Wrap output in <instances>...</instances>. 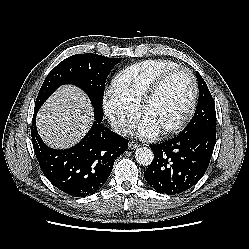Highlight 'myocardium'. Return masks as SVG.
Instances as JSON below:
<instances>
[{
	"instance_id": "1",
	"label": "myocardium",
	"mask_w": 249,
	"mask_h": 249,
	"mask_svg": "<svg viewBox=\"0 0 249 249\" xmlns=\"http://www.w3.org/2000/svg\"><path fill=\"white\" fill-rule=\"evenodd\" d=\"M178 71H185L189 75L190 83H191L190 98H189L188 106H187L186 110L184 111V113L181 115V117L173 124L159 130V133L162 135H170V134L176 133L179 130H181L188 123V121L191 119V117L195 111L197 97H198V85H197V80H196V77H195L193 71L189 67L183 66V65H177L175 67H172V68L164 71L154 80V82L148 88V90L146 91V93L142 97V99L139 103V106H138L139 116L143 118L147 107L150 105V103L157 96V94L160 91L164 82L172 74H174L175 72H178Z\"/></svg>"
}]
</instances>
